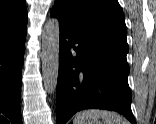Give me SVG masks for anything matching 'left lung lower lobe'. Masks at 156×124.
I'll return each instance as SVG.
<instances>
[{
	"label": "left lung lower lobe",
	"mask_w": 156,
	"mask_h": 124,
	"mask_svg": "<svg viewBox=\"0 0 156 124\" xmlns=\"http://www.w3.org/2000/svg\"><path fill=\"white\" fill-rule=\"evenodd\" d=\"M60 24L57 124H65L77 111L106 109L119 112L136 124L128 85V51L101 37Z\"/></svg>",
	"instance_id": "left-lung-lower-lobe-1"
}]
</instances>
